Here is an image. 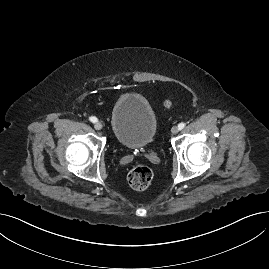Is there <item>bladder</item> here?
Listing matches in <instances>:
<instances>
[{
	"mask_svg": "<svg viewBox=\"0 0 269 269\" xmlns=\"http://www.w3.org/2000/svg\"><path fill=\"white\" fill-rule=\"evenodd\" d=\"M115 140L126 148H143L157 132V117L146 97L140 93L121 95L113 105L110 119Z\"/></svg>",
	"mask_w": 269,
	"mask_h": 269,
	"instance_id": "1",
	"label": "bladder"
}]
</instances>
